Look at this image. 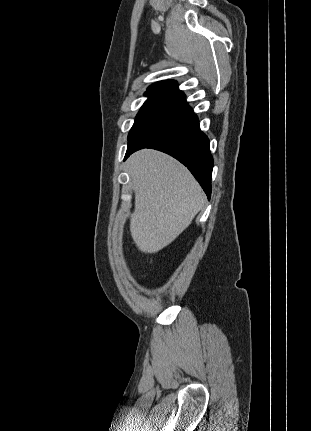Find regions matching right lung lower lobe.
<instances>
[{
  "label": "right lung lower lobe",
  "mask_w": 311,
  "mask_h": 431,
  "mask_svg": "<svg viewBox=\"0 0 311 431\" xmlns=\"http://www.w3.org/2000/svg\"><path fill=\"white\" fill-rule=\"evenodd\" d=\"M209 145L208 137L200 131L197 116L183 98L137 133L128 143L125 160L143 148L165 152L190 170L210 199L213 158Z\"/></svg>",
  "instance_id": "obj_1"
}]
</instances>
